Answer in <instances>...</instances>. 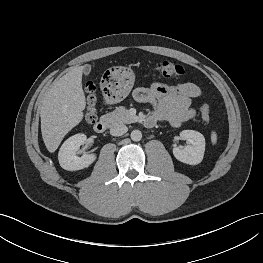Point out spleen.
Returning <instances> with one entry per match:
<instances>
[{"label":"spleen","instance_id":"3e777b00","mask_svg":"<svg viewBox=\"0 0 263 263\" xmlns=\"http://www.w3.org/2000/svg\"><path fill=\"white\" fill-rule=\"evenodd\" d=\"M211 142H212V144H216V142H217V134L215 131H212V133H211Z\"/></svg>","mask_w":263,"mask_h":263}]
</instances>
